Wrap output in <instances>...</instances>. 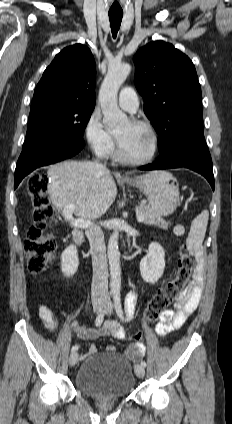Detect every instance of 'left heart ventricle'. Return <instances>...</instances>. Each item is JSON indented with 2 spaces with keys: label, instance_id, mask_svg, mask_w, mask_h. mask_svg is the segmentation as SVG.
<instances>
[{
  "label": "left heart ventricle",
  "instance_id": "left-heart-ventricle-1",
  "mask_svg": "<svg viewBox=\"0 0 232 424\" xmlns=\"http://www.w3.org/2000/svg\"><path fill=\"white\" fill-rule=\"evenodd\" d=\"M124 153L133 158H141L149 154L152 147L150 134L142 127L126 121L115 131Z\"/></svg>",
  "mask_w": 232,
  "mask_h": 424
}]
</instances>
